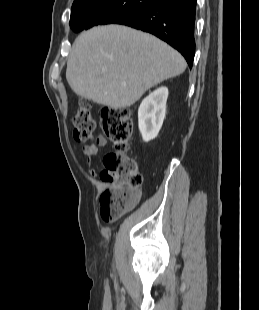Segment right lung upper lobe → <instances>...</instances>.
I'll return each mask as SVG.
<instances>
[{"label": "right lung upper lobe", "mask_w": 259, "mask_h": 310, "mask_svg": "<svg viewBox=\"0 0 259 310\" xmlns=\"http://www.w3.org/2000/svg\"><path fill=\"white\" fill-rule=\"evenodd\" d=\"M99 1H102V0H74L71 10L80 8V7H85L87 5H91Z\"/></svg>", "instance_id": "right-lung-upper-lobe-1"}]
</instances>
